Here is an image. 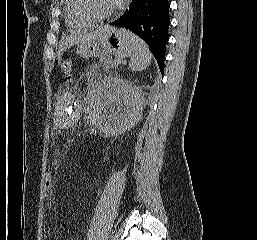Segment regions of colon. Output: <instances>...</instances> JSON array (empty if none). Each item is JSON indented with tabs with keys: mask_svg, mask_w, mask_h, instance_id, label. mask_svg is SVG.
I'll list each match as a JSON object with an SVG mask.
<instances>
[{
	"mask_svg": "<svg viewBox=\"0 0 257 240\" xmlns=\"http://www.w3.org/2000/svg\"><path fill=\"white\" fill-rule=\"evenodd\" d=\"M62 75L65 78H71L74 71V62L71 59H66L62 64ZM53 188L52 172L47 170L45 173L44 190L47 198H50Z\"/></svg>",
	"mask_w": 257,
	"mask_h": 240,
	"instance_id": "obj_1",
	"label": "colon"
}]
</instances>
